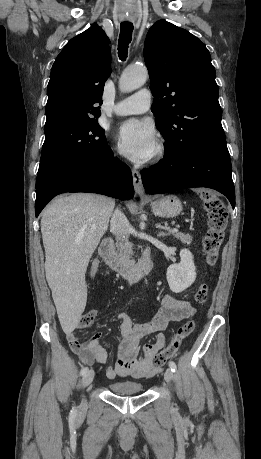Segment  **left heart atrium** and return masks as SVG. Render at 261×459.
Wrapping results in <instances>:
<instances>
[{"mask_svg":"<svg viewBox=\"0 0 261 459\" xmlns=\"http://www.w3.org/2000/svg\"><path fill=\"white\" fill-rule=\"evenodd\" d=\"M115 140L119 151L136 163L151 158L157 145L153 125L144 120L129 119L118 128Z\"/></svg>","mask_w":261,"mask_h":459,"instance_id":"1","label":"left heart atrium"}]
</instances>
